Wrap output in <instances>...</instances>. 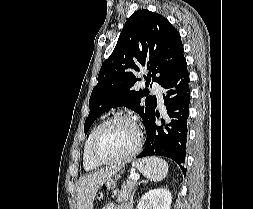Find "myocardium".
Wrapping results in <instances>:
<instances>
[{"label": "myocardium", "instance_id": "f54148a6", "mask_svg": "<svg viewBox=\"0 0 253 209\" xmlns=\"http://www.w3.org/2000/svg\"><path fill=\"white\" fill-rule=\"evenodd\" d=\"M118 120L128 121L129 123H131L134 126V128L136 130L135 145L133 146V148L130 151H128L126 154H124L118 158H113V159L102 158L97 154V144H98L100 135L106 126H108L110 123H112L114 121H118ZM142 137H143V135H142V130H141L140 124L133 116H131L129 114H124V113L110 116L109 118H107L104 122H102L99 125V127L97 128V130L93 136V139L91 142V149H90L91 158L98 165L116 164V163L124 162V161L130 159L131 157H133L139 151L141 144H142Z\"/></svg>", "mask_w": 253, "mask_h": 209}]
</instances>
